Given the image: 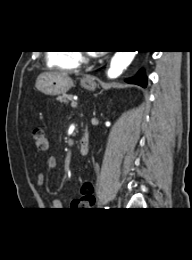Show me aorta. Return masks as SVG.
<instances>
[{"instance_id": "1", "label": "aorta", "mask_w": 192, "mask_h": 260, "mask_svg": "<svg viewBox=\"0 0 192 260\" xmlns=\"http://www.w3.org/2000/svg\"><path fill=\"white\" fill-rule=\"evenodd\" d=\"M137 51H117L111 59L107 75L110 78L118 77L133 61Z\"/></svg>"}]
</instances>
